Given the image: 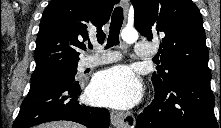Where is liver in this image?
<instances>
[{
  "instance_id": "obj_1",
  "label": "liver",
  "mask_w": 221,
  "mask_h": 128,
  "mask_svg": "<svg viewBox=\"0 0 221 128\" xmlns=\"http://www.w3.org/2000/svg\"><path fill=\"white\" fill-rule=\"evenodd\" d=\"M37 128H84L82 125L70 121H55L39 125Z\"/></svg>"
}]
</instances>
